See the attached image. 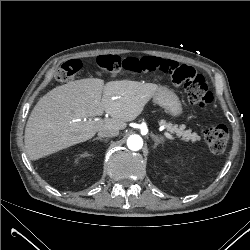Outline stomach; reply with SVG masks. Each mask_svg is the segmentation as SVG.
I'll list each match as a JSON object with an SVG mask.
<instances>
[{
	"instance_id": "stomach-1",
	"label": "stomach",
	"mask_w": 250,
	"mask_h": 250,
	"mask_svg": "<svg viewBox=\"0 0 250 250\" xmlns=\"http://www.w3.org/2000/svg\"><path fill=\"white\" fill-rule=\"evenodd\" d=\"M153 99L155 103L166 109L175 117L180 116L183 113L182 104L178 96L165 87L158 88Z\"/></svg>"
}]
</instances>
